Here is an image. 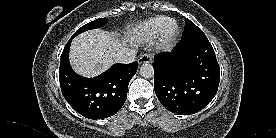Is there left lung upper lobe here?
Instances as JSON below:
<instances>
[{"instance_id": "5c2ea615", "label": "left lung upper lobe", "mask_w": 276, "mask_h": 138, "mask_svg": "<svg viewBox=\"0 0 276 138\" xmlns=\"http://www.w3.org/2000/svg\"><path fill=\"white\" fill-rule=\"evenodd\" d=\"M206 36L203 31L197 27L192 21L186 19L185 29L182 39H188L192 37Z\"/></svg>"}]
</instances>
